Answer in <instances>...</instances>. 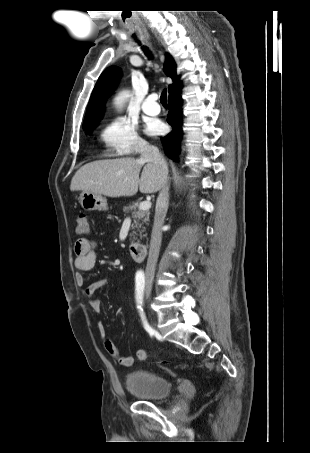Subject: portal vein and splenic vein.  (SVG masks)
I'll list each match as a JSON object with an SVG mask.
<instances>
[{"label": "portal vein and splenic vein", "instance_id": "18ae733b", "mask_svg": "<svg viewBox=\"0 0 310 453\" xmlns=\"http://www.w3.org/2000/svg\"><path fill=\"white\" fill-rule=\"evenodd\" d=\"M151 208V202L150 201H144L141 202L139 205V209L143 211H147Z\"/></svg>", "mask_w": 310, "mask_h": 453}]
</instances>
